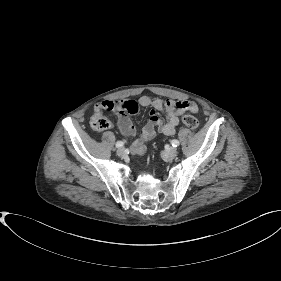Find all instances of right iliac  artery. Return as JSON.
Instances as JSON below:
<instances>
[{
  "mask_svg": "<svg viewBox=\"0 0 281 281\" xmlns=\"http://www.w3.org/2000/svg\"><path fill=\"white\" fill-rule=\"evenodd\" d=\"M124 145V142H122V141H118L117 143H116V147L117 148H120V147H122Z\"/></svg>",
  "mask_w": 281,
  "mask_h": 281,
  "instance_id": "1",
  "label": "right iliac artery"
}]
</instances>
